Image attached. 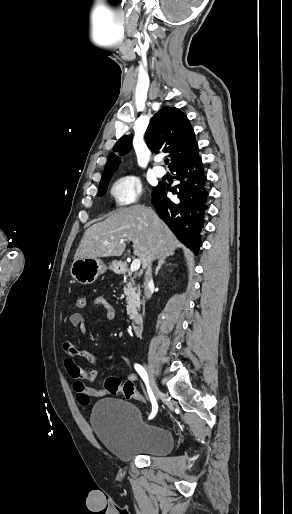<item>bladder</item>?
Listing matches in <instances>:
<instances>
[{
    "mask_svg": "<svg viewBox=\"0 0 292 514\" xmlns=\"http://www.w3.org/2000/svg\"><path fill=\"white\" fill-rule=\"evenodd\" d=\"M90 423L98 440L121 461L162 456L174 445L169 429L144 421L139 408L125 400L99 401L92 409Z\"/></svg>",
    "mask_w": 292,
    "mask_h": 514,
    "instance_id": "bladder-1",
    "label": "bladder"
}]
</instances>
